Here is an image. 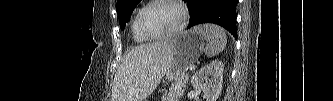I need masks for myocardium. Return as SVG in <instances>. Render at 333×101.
<instances>
[{"label": "myocardium", "instance_id": "1", "mask_svg": "<svg viewBox=\"0 0 333 101\" xmlns=\"http://www.w3.org/2000/svg\"><path fill=\"white\" fill-rule=\"evenodd\" d=\"M159 3H170L174 6H176L181 14V20L179 25L173 29L172 31L168 32V33H164V34H152L150 33L144 26L143 23V18L144 15L146 13V11L151 8L152 6L159 4ZM187 20H188V12L187 9L185 8V6L183 5V3L181 1H177V0H154L149 2L147 5H145L139 12L138 18H137V26L138 29L140 31V33L142 35H144L145 37H147L148 39H153V40H157V39H163V38H168V37H172L177 35L178 33H180L184 27L187 24Z\"/></svg>", "mask_w": 333, "mask_h": 101}]
</instances>
